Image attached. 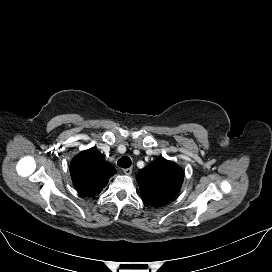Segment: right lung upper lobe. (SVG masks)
Returning <instances> with one entry per match:
<instances>
[{
	"instance_id": "1",
	"label": "right lung upper lobe",
	"mask_w": 272,
	"mask_h": 272,
	"mask_svg": "<svg viewBox=\"0 0 272 272\" xmlns=\"http://www.w3.org/2000/svg\"><path fill=\"white\" fill-rule=\"evenodd\" d=\"M70 174L82 195L94 197L106 186L108 179L116 174V170L98 150L90 148L72 159Z\"/></svg>"
}]
</instances>
